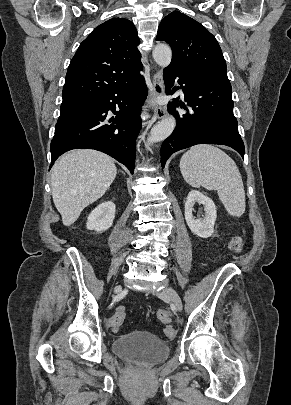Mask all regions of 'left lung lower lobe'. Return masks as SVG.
<instances>
[{
  "mask_svg": "<svg viewBox=\"0 0 291 405\" xmlns=\"http://www.w3.org/2000/svg\"><path fill=\"white\" fill-rule=\"evenodd\" d=\"M184 93L188 108L181 113L176 110L178 98L169 103L168 111L175 116L177 124L172 134L161 146V165L175 152L196 144H220L235 149L244 158V144L238 132L237 120L233 114L231 84L228 79L188 74L176 68L164 69L166 93L173 94L169 89L175 78Z\"/></svg>",
  "mask_w": 291,
  "mask_h": 405,
  "instance_id": "0a47b994",
  "label": "left lung lower lobe"
}]
</instances>
